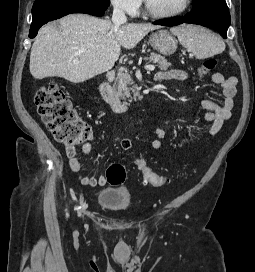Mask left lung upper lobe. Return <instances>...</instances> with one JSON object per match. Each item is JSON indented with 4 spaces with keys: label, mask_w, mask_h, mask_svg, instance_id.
I'll return each instance as SVG.
<instances>
[{
    "label": "left lung upper lobe",
    "mask_w": 255,
    "mask_h": 272,
    "mask_svg": "<svg viewBox=\"0 0 255 272\" xmlns=\"http://www.w3.org/2000/svg\"><path fill=\"white\" fill-rule=\"evenodd\" d=\"M202 0H193V2H194V5H196V4H198V3H200Z\"/></svg>",
    "instance_id": "5c2ea615"
}]
</instances>
